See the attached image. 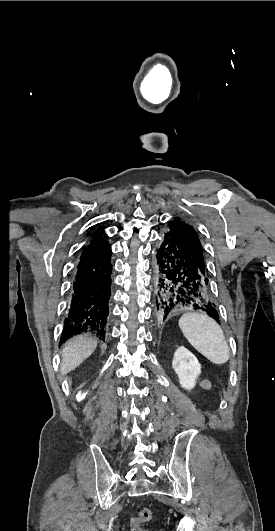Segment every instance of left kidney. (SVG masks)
<instances>
[{"mask_svg":"<svg viewBox=\"0 0 275 531\" xmlns=\"http://www.w3.org/2000/svg\"><path fill=\"white\" fill-rule=\"evenodd\" d=\"M172 369L178 375L179 383L183 389H194L196 379L201 373V365L193 353H190L185 347L176 349L172 361Z\"/></svg>","mask_w":275,"mask_h":531,"instance_id":"5707ae66","label":"left kidney"}]
</instances>
